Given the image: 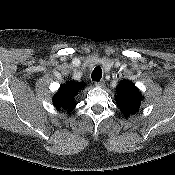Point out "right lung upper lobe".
<instances>
[{"label":"right lung upper lobe","instance_id":"right-lung-upper-lobe-1","mask_svg":"<svg viewBox=\"0 0 175 175\" xmlns=\"http://www.w3.org/2000/svg\"><path fill=\"white\" fill-rule=\"evenodd\" d=\"M84 86V83H78L75 81H70L61 85L57 94L53 97L54 106L68 112L72 111L77 105L75 102V96Z\"/></svg>","mask_w":175,"mask_h":175}]
</instances>
